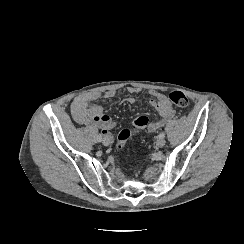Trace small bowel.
I'll return each instance as SVG.
<instances>
[{"label":"small bowel","instance_id":"obj_1","mask_svg":"<svg viewBox=\"0 0 244 244\" xmlns=\"http://www.w3.org/2000/svg\"><path fill=\"white\" fill-rule=\"evenodd\" d=\"M129 91L135 93L138 90L129 88ZM115 94V90H109L106 92H95L88 95L78 96L71 104V115L73 119L77 123L83 125H98L100 127V132L104 133V135L110 134L115 123L109 115L102 111L101 106L94 103V101L101 98H112ZM148 94L150 96V106L156 109L160 115V119L150 120L149 126L144 127L148 132L153 133L173 119L176 115V111L164 93L156 89H150ZM127 100L129 103L135 102L133 97H130Z\"/></svg>","mask_w":244,"mask_h":244}]
</instances>
